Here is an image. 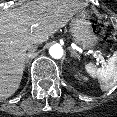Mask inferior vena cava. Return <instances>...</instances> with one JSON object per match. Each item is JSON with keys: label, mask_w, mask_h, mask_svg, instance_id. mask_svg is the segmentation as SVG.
I'll return each mask as SVG.
<instances>
[{"label": "inferior vena cava", "mask_w": 117, "mask_h": 117, "mask_svg": "<svg viewBox=\"0 0 117 117\" xmlns=\"http://www.w3.org/2000/svg\"><path fill=\"white\" fill-rule=\"evenodd\" d=\"M38 54V49L35 46H30L27 49V56L35 57Z\"/></svg>", "instance_id": "obj_1"}]
</instances>
